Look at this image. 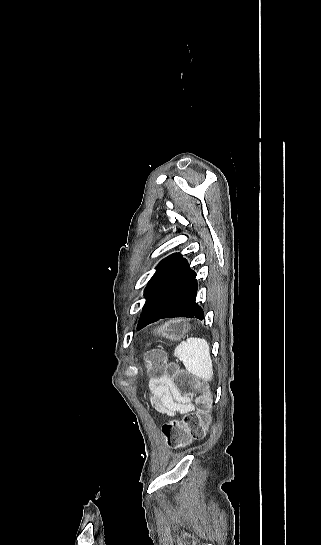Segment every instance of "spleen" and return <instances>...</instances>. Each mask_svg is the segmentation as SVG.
<instances>
[{
	"instance_id": "obj_1",
	"label": "spleen",
	"mask_w": 321,
	"mask_h": 545,
	"mask_svg": "<svg viewBox=\"0 0 321 545\" xmlns=\"http://www.w3.org/2000/svg\"><path fill=\"white\" fill-rule=\"evenodd\" d=\"M174 357L182 361L186 371L201 381H212L213 365L210 357L209 343L205 339H187L182 341L174 351Z\"/></svg>"
}]
</instances>
